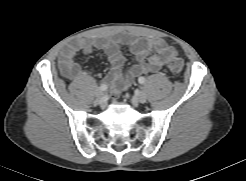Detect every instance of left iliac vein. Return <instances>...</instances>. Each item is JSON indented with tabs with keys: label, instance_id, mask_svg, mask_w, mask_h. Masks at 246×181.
<instances>
[{
	"label": "left iliac vein",
	"instance_id": "obj_1",
	"mask_svg": "<svg viewBox=\"0 0 246 181\" xmlns=\"http://www.w3.org/2000/svg\"><path fill=\"white\" fill-rule=\"evenodd\" d=\"M139 103H145L147 101V96L146 94L141 91L137 94L136 98H135Z\"/></svg>",
	"mask_w": 246,
	"mask_h": 181
}]
</instances>
